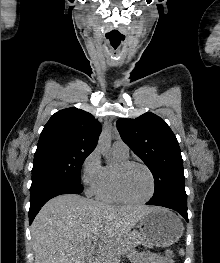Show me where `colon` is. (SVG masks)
<instances>
[{
    "label": "colon",
    "instance_id": "1",
    "mask_svg": "<svg viewBox=\"0 0 220 263\" xmlns=\"http://www.w3.org/2000/svg\"><path fill=\"white\" fill-rule=\"evenodd\" d=\"M165 258L174 263V252L172 250H167L165 252Z\"/></svg>",
    "mask_w": 220,
    "mask_h": 263
}]
</instances>
